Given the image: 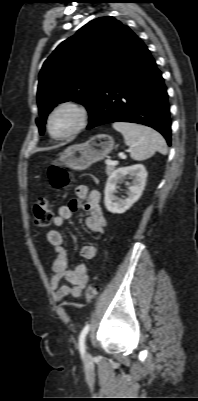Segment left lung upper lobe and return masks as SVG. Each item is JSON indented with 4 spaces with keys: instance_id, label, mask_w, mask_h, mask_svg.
<instances>
[{
    "instance_id": "obj_1",
    "label": "left lung upper lobe",
    "mask_w": 198,
    "mask_h": 401,
    "mask_svg": "<svg viewBox=\"0 0 198 401\" xmlns=\"http://www.w3.org/2000/svg\"><path fill=\"white\" fill-rule=\"evenodd\" d=\"M137 36L114 17L90 21L63 41L44 62L37 101L40 134L57 103L76 101L90 112L105 81L132 48Z\"/></svg>"
}]
</instances>
